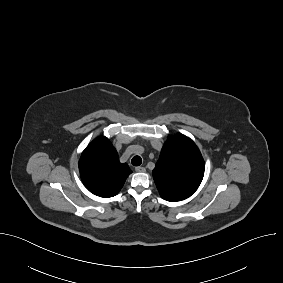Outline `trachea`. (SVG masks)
<instances>
[{"label": "trachea", "mask_w": 283, "mask_h": 283, "mask_svg": "<svg viewBox=\"0 0 283 283\" xmlns=\"http://www.w3.org/2000/svg\"><path fill=\"white\" fill-rule=\"evenodd\" d=\"M133 166H140L142 163V159L140 156H134L131 160Z\"/></svg>", "instance_id": "trachea-1"}]
</instances>
